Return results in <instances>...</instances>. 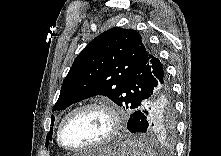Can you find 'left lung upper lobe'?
Here are the masks:
<instances>
[{
  "mask_svg": "<svg viewBox=\"0 0 221 156\" xmlns=\"http://www.w3.org/2000/svg\"><path fill=\"white\" fill-rule=\"evenodd\" d=\"M162 72L163 64L136 30L109 29L76 57L53 111L95 95L134 111L151 96L153 80Z\"/></svg>",
  "mask_w": 221,
  "mask_h": 156,
  "instance_id": "1",
  "label": "left lung upper lobe"
}]
</instances>
